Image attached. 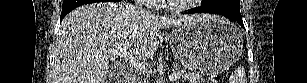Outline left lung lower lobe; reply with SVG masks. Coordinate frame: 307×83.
I'll return each mask as SVG.
<instances>
[{
	"mask_svg": "<svg viewBox=\"0 0 307 83\" xmlns=\"http://www.w3.org/2000/svg\"><path fill=\"white\" fill-rule=\"evenodd\" d=\"M186 14H194V13H215L220 14L231 21H237L243 28V20L240 11L235 10L233 7L229 5L221 6V7H213L209 3L202 1L201 6L197 8H193L187 12Z\"/></svg>",
	"mask_w": 307,
	"mask_h": 83,
	"instance_id": "0a47b994",
	"label": "left lung lower lobe"
}]
</instances>
